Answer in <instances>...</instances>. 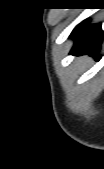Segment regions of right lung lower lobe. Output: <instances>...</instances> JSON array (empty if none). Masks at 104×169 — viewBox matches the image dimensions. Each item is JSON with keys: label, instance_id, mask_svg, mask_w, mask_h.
<instances>
[{"label": "right lung lower lobe", "instance_id": "1", "mask_svg": "<svg viewBox=\"0 0 104 169\" xmlns=\"http://www.w3.org/2000/svg\"><path fill=\"white\" fill-rule=\"evenodd\" d=\"M70 37H75L71 53L96 54L103 38L101 24L90 25L88 19L75 27Z\"/></svg>", "mask_w": 104, "mask_h": 169}]
</instances>
